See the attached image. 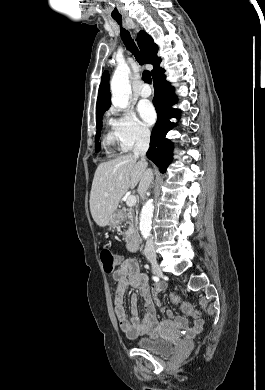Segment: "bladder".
I'll list each match as a JSON object with an SVG mask.
<instances>
[{
  "mask_svg": "<svg viewBox=\"0 0 265 390\" xmlns=\"http://www.w3.org/2000/svg\"><path fill=\"white\" fill-rule=\"evenodd\" d=\"M135 344L138 348L158 354L171 353L173 344L157 336H142L136 339Z\"/></svg>",
  "mask_w": 265,
  "mask_h": 390,
  "instance_id": "obj_1",
  "label": "bladder"
}]
</instances>
